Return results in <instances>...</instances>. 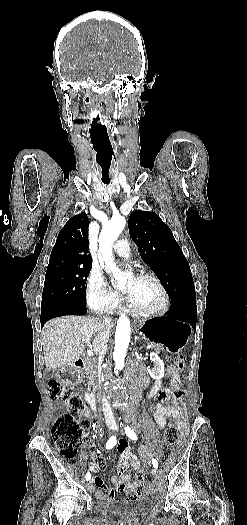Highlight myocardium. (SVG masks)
Listing matches in <instances>:
<instances>
[{"instance_id": "1", "label": "myocardium", "mask_w": 247, "mask_h": 525, "mask_svg": "<svg viewBox=\"0 0 247 525\" xmlns=\"http://www.w3.org/2000/svg\"><path fill=\"white\" fill-rule=\"evenodd\" d=\"M129 262L131 264V267H133L134 266L133 263L131 261H129ZM145 277L152 279L156 283L158 288L161 290V292L163 294V303L159 307H156V308L148 307L147 305H145L144 303H142L139 300H135L134 303L139 306L140 311H141V313L143 315H159V314H162L168 309V307L170 305L169 294H168L165 286L163 285L162 281L159 279V277L154 272L141 271L139 273V278H145Z\"/></svg>"}]
</instances>
